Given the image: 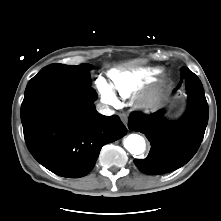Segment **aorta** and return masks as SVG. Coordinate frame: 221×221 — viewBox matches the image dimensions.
<instances>
[{"label": "aorta", "instance_id": "1", "mask_svg": "<svg viewBox=\"0 0 221 221\" xmlns=\"http://www.w3.org/2000/svg\"><path fill=\"white\" fill-rule=\"evenodd\" d=\"M124 147L134 155L142 154L145 151L146 143L142 136L130 134L124 141Z\"/></svg>", "mask_w": 221, "mask_h": 221}]
</instances>
